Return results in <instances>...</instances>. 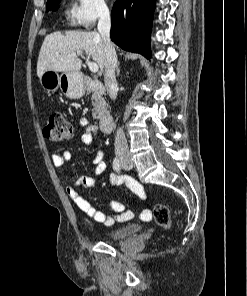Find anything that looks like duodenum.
Instances as JSON below:
<instances>
[{
    "mask_svg": "<svg viewBox=\"0 0 247 296\" xmlns=\"http://www.w3.org/2000/svg\"><path fill=\"white\" fill-rule=\"evenodd\" d=\"M85 86L88 92L96 96H101L105 93V86L99 80L87 79ZM99 123L103 132H109L113 125V116L110 113H103L99 118Z\"/></svg>",
    "mask_w": 247,
    "mask_h": 296,
    "instance_id": "1",
    "label": "duodenum"
}]
</instances>
